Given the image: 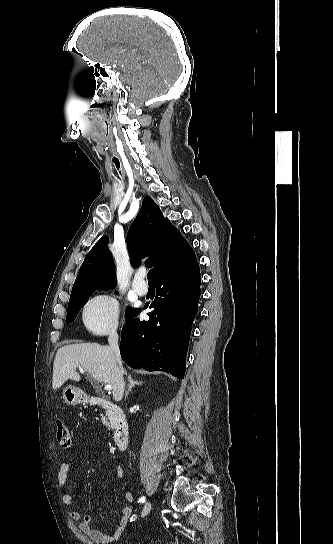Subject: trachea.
Listing matches in <instances>:
<instances>
[{"mask_svg":"<svg viewBox=\"0 0 333 544\" xmlns=\"http://www.w3.org/2000/svg\"><path fill=\"white\" fill-rule=\"evenodd\" d=\"M147 279L150 283H155V274H154V270L153 269H150L148 274H147Z\"/></svg>","mask_w":333,"mask_h":544,"instance_id":"obj_1","label":"trachea"}]
</instances>
